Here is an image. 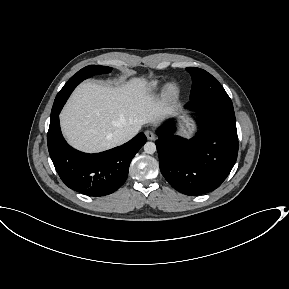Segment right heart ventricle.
<instances>
[{
  "instance_id": "1",
  "label": "right heart ventricle",
  "mask_w": 289,
  "mask_h": 289,
  "mask_svg": "<svg viewBox=\"0 0 289 289\" xmlns=\"http://www.w3.org/2000/svg\"><path fill=\"white\" fill-rule=\"evenodd\" d=\"M158 81H152L149 85L150 89H156L158 87Z\"/></svg>"
}]
</instances>
